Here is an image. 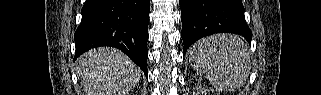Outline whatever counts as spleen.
Here are the masks:
<instances>
[{"label": "spleen", "instance_id": "obj_1", "mask_svg": "<svg viewBox=\"0 0 321 95\" xmlns=\"http://www.w3.org/2000/svg\"><path fill=\"white\" fill-rule=\"evenodd\" d=\"M189 62L219 90L232 91L244 85L250 54L247 45L233 34L203 38L189 49Z\"/></svg>", "mask_w": 321, "mask_h": 95}]
</instances>
